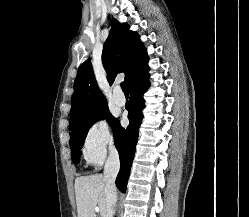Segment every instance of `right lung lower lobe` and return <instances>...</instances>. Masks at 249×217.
Returning <instances> with one entry per match:
<instances>
[{
    "label": "right lung lower lobe",
    "instance_id": "98d812e1",
    "mask_svg": "<svg viewBox=\"0 0 249 217\" xmlns=\"http://www.w3.org/2000/svg\"><path fill=\"white\" fill-rule=\"evenodd\" d=\"M148 64L140 70V72L129 83L130 101L126 104L129 111L128 119L130 124L126 129L120 126L118 120L113 124L114 143L119 152L120 171L116 178V186L121 192H125L130 169L135 153V146L138 140V128L141 124L144 108L143 94L149 87Z\"/></svg>",
    "mask_w": 249,
    "mask_h": 217
}]
</instances>
